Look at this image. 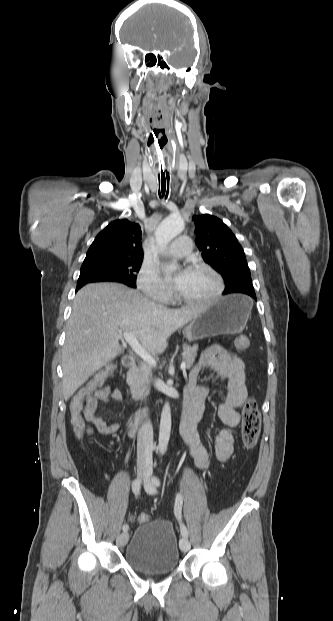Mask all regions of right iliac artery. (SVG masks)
I'll use <instances>...</instances> for the list:
<instances>
[{
  "label": "right iliac artery",
  "mask_w": 333,
  "mask_h": 621,
  "mask_svg": "<svg viewBox=\"0 0 333 621\" xmlns=\"http://www.w3.org/2000/svg\"><path fill=\"white\" fill-rule=\"evenodd\" d=\"M132 491L133 493L138 496L140 494V482L139 480L135 479L132 483ZM123 531L126 532L129 529L128 524H124L122 527Z\"/></svg>",
  "instance_id": "obj_1"
}]
</instances>
